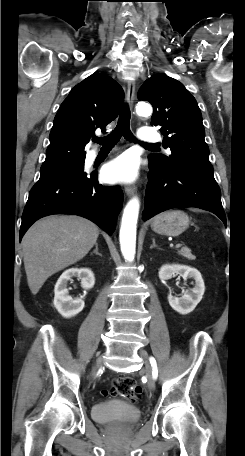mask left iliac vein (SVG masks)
Segmentation results:
<instances>
[{"mask_svg":"<svg viewBox=\"0 0 245 456\" xmlns=\"http://www.w3.org/2000/svg\"><path fill=\"white\" fill-rule=\"evenodd\" d=\"M139 354H140V356H141L144 360H146V362H147V359H148V353H147V351L144 350V349H141V350H139ZM146 375H147V378H148V383H147L148 389H149V390H154V388H155V381H154V378H153V376H152V374H151V369H150L149 366L146 367Z\"/></svg>","mask_w":245,"mask_h":456,"instance_id":"4c4485c4","label":"left iliac vein"}]
</instances>
